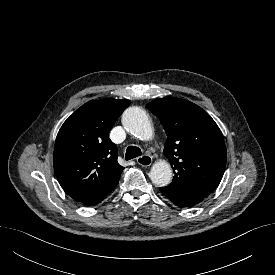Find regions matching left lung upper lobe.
Returning <instances> with one entry per match:
<instances>
[{
    "mask_svg": "<svg viewBox=\"0 0 275 275\" xmlns=\"http://www.w3.org/2000/svg\"><path fill=\"white\" fill-rule=\"evenodd\" d=\"M146 107L160 120L168 137L164 155L174 178L165 189L212 193L222 179L227 159L215 121L198 105L179 98H159Z\"/></svg>",
    "mask_w": 275,
    "mask_h": 275,
    "instance_id": "5c2ea615",
    "label": "left lung upper lobe"
}]
</instances>
